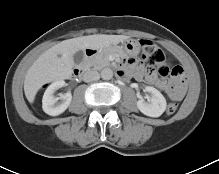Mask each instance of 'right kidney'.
<instances>
[{
	"mask_svg": "<svg viewBox=\"0 0 219 174\" xmlns=\"http://www.w3.org/2000/svg\"><path fill=\"white\" fill-rule=\"evenodd\" d=\"M63 86H65V82L63 80H58L53 82L46 89L42 99V108L46 114L57 116L62 114L69 107L72 100V95L70 92L64 94L61 97L62 102L58 104L57 101L59 98L54 96V92Z\"/></svg>",
	"mask_w": 219,
	"mask_h": 174,
	"instance_id": "ca27d5eb",
	"label": "right kidney"
}]
</instances>
